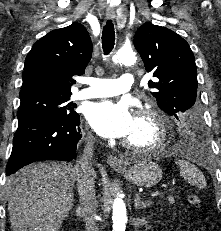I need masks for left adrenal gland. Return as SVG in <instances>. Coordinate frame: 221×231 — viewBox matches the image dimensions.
<instances>
[{"mask_svg":"<svg viewBox=\"0 0 221 231\" xmlns=\"http://www.w3.org/2000/svg\"><path fill=\"white\" fill-rule=\"evenodd\" d=\"M152 204L151 201H143L140 197V194H136L134 199V207L135 209H142L149 207Z\"/></svg>","mask_w":221,"mask_h":231,"instance_id":"left-adrenal-gland-1","label":"left adrenal gland"}]
</instances>
